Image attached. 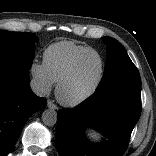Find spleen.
I'll return each instance as SVG.
<instances>
[{
    "label": "spleen",
    "instance_id": "3e777b00",
    "mask_svg": "<svg viewBox=\"0 0 156 156\" xmlns=\"http://www.w3.org/2000/svg\"><path fill=\"white\" fill-rule=\"evenodd\" d=\"M88 135L95 140H98L100 137V135L97 132L92 131V130H88Z\"/></svg>",
    "mask_w": 156,
    "mask_h": 156
}]
</instances>
